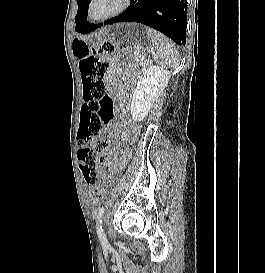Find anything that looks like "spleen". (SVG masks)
Segmentation results:
<instances>
[{
  "label": "spleen",
  "mask_w": 265,
  "mask_h": 273,
  "mask_svg": "<svg viewBox=\"0 0 265 273\" xmlns=\"http://www.w3.org/2000/svg\"><path fill=\"white\" fill-rule=\"evenodd\" d=\"M146 33L151 41L152 51L157 63L161 67L175 68L179 64V53L175 44L162 33L146 28Z\"/></svg>",
  "instance_id": "3e777b00"
}]
</instances>
